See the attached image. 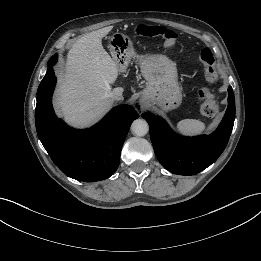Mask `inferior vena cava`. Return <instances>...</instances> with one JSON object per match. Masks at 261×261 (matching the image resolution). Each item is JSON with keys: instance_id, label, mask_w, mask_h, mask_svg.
<instances>
[{"instance_id": "obj_1", "label": "inferior vena cava", "mask_w": 261, "mask_h": 261, "mask_svg": "<svg viewBox=\"0 0 261 261\" xmlns=\"http://www.w3.org/2000/svg\"><path fill=\"white\" fill-rule=\"evenodd\" d=\"M112 100L120 101L123 100L122 94L118 92H111L108 95Z\"/></svg>"}]
</instances>
